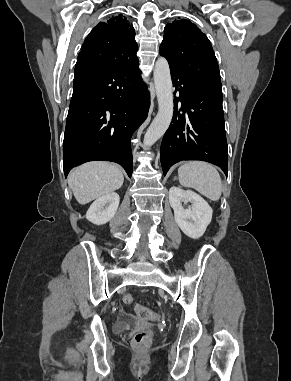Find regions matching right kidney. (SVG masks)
Instances as JSON below:
<instances>
[{"mask_svg":"<svg viewBox=\"0 0 291 381\" xmlns=\"http://www.w3.org/2000/svg\"><path fill=\"white\" fill-rule=\"evenodd\" d=\"M120 202L117 193H109L96 199L86 213V219L93 224L103 225L116 214Z\"/></svg>","mask_w":291,"mask_h":381,"instance_id":"right-kidney-1","label":"right kidney"}]
</instances>
